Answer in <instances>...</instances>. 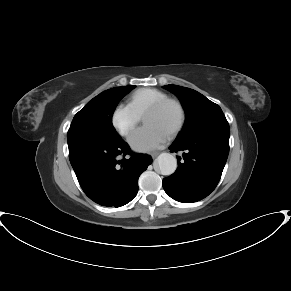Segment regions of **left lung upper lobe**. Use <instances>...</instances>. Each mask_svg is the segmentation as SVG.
Segmentation results:
<instances>
[{
  "mask_svg": "<svg viewBox=\"0 0 291 291\" xmlns=\"http://www.w3.org/2000/svg\"><path fill=\"white\" fill-rule=\"evenodd\" d=\"M164 88L180 99L186 113L184 128L175 141H186L211 131L229 129L221 108L199 92L178 85H166Z\"/></svg>",
  "mask_w": 291,
  "mask_h": 291,
  "instance_id": "5c2ea615",
  "label": "left lung upper lobe"
}]
</instances>
